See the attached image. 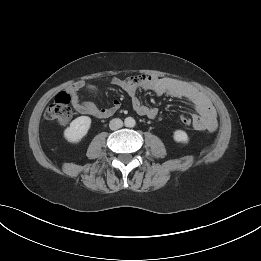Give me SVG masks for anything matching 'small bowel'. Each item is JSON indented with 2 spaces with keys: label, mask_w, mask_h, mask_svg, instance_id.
<instances>
[{
  "label": "small bowel",
  "mask_w": 261,
  "mask_h": 261,
  "mask_svg": "<svg viewBox=\"0 0 261 261\" xmlns=\"http://www.w3.org/2000/svg\"><path fill=\"white\" fill-rule=\"evenodd\" d=\"M111 83L123 89L130 97L133 110L140 116L150 119L156 118L158 110L141 103L137 97L138 90H149L157 95H167L185 99L195 109L192 115V127L198 131H214L217 128V113L210 100L198 89L180 80L157 76H132L127 78H113ZM87 89L93 93L98 89L83 81L77 82L68 88L73 108L80 114L91 115L96 118H107L113 115L120 107L118 100L113 101L108 108H99L92 101H82L79 92Z\"/></svg>",
  "instance_id": "c3829d8e"
}]
</instances>
